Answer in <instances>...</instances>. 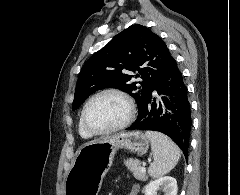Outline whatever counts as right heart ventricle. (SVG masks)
I'll return each mask as SVG.
<instances>
[{
    "instance_id": "1",
    "label": "right heart ventricle",
    "mask_w": 240,
    "mask_h": 195,
    "mask_svg": "<svg viewBox=\"0 0 240 195\" xmlns=\"http://www.w3.org/2000/svg\"><path fill=\"white\" fill-rule=\"evenodd\" d=\"M79 130H80V134L82 135V137L84 138H90V134L84 130V128L82 127L81 123L79 125Z\"/></svg>"
}]
</instances>
